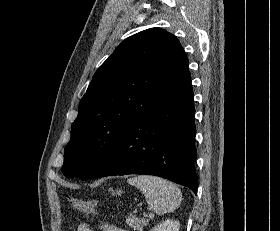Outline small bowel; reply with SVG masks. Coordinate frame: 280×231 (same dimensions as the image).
Wrapping results in <instances>:
<instances>
[{
  "mask_svg": "<svg viewBox=\"0 0 280 231\" xmlns=\"http://www.w3.org/2000/svg\"><path fill=\"white\" fill-rule=\"evenodd\" d=\"M105 231H120V229L112 227V226H105ZM77 231H92L91 227L87 223H80L77 226Z\"/></svg>",
  "mask_w": 280,
  "mask_h": 231,
  "instance_id": "c3829d8e",
  "label": "small bowel"
}]
</instances>
